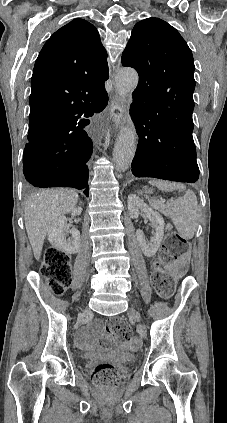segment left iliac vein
<instances>
[{"instance_id": "obj_1", "label": "left iliac vein", "mask_w": 227, "mask_h": 423, "mask_svg": "<svg viewBox=\"0 0 227 423\" xmlns=\"http://www.w3.org/2000/svg\"><path fill=\"white\" fill-rule=\"evenodd\" d=\"M128 314L130 317L134 318L136 321L141 322V315L138 311L134 310L133 308H130L128 311Z\"/></svg>"}]
</instances>
